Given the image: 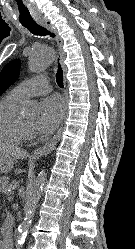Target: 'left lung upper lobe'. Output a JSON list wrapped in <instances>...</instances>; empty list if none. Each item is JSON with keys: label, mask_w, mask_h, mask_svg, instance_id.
<instances>
[{"label": "left lung upper lobe", "mask_w": 135, "mask_h": 249, "mask_svg": "<svg viewBox=\"0 0 135 249\" xmlns=\"http://www.w3.org/2000/svg\"><path fill=\"white\" fill-rule=\"evenodd\" d=\"M20 60L9 62L0 73V95L6 91L19 75Z\"/></svg>", "instance_id": "5c2ea615"}]
</instances>
